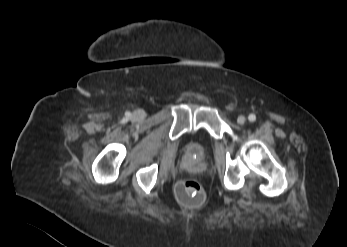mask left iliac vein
Masks as SVG:
<instances>
[{
    "label": "left iliac vein",
    "instance_id": "1",
    "mask_svg": "<svg viewBox=\"0 0 347 247\" xmlns=\"http://www.w3.org/2000/svg\"><path fill=\"white\" fill-rule=\"evenodd\" d=\"M246 121V118L243 116V115H240L238 118H237V123L239 125H243Z\"/></svg>",
    "mask_w": 347,
    "mask_h": 247
}]
</instances>
